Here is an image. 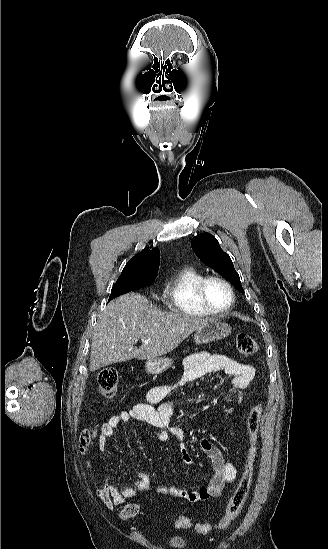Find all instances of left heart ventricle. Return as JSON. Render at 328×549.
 I'll list each match as a JSON object with an SVG mask.
<instances>
[{
    "label": "left heart ventricle",
    "instance_id": "b2bd125f",
    "mask_svg": "<svg viewBox=\"0 0 328 549\" xmlns=\"http://www.w3.org/2000/svg\"><path fill=\"white\" fill-rule=\"evenodd\" d=\"M208 307L221 311L226 308L230 302V293L227 287L219 282H212L207 289Z\"/></svg>",
    "mask_w": 328,
    "mask_h": 549
}]
</instances>
